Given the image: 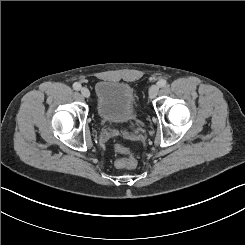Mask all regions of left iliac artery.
<instances>
[{"label":"left iliac artery","instance_id":"left-iliac-artery-1","mask_svg":"<svg viewBox=\"0 0 245 245\" xmlns=\"http://www.w3.org/2000/svg\"><path fill=\"white\" fill-rule=\"evenodd\" d=\"M167 85V81L164 79H161L158 81V86L159 87H165Z\"/></svg>","mask_w":245,"mask_h":245}]
</instances>
